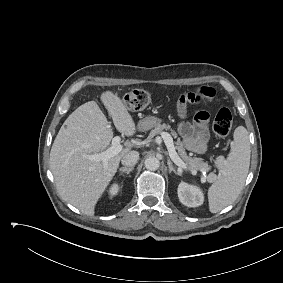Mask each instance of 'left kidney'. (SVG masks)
Listing matches in <instances>:
<instances>
[{"label":"left kidney","instance_id":"1","mask_svg":"<svg viewBox=\"0 0 283 283\" xmlns=\"http://www.w3.org/2000/svg\"><path fill=\"white\" fill-rule=\"evenodd\" d=\"M178 197L180 202L187 207H198L204 201L202 190L195 185H189L185 182H181L178 186Z\"/></svg>","mask_w":283,"mask_h":283}]
</instances>
